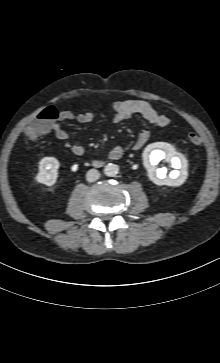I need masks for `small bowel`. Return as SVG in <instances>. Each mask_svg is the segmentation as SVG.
I'll return each mask as SVG.
<instances>
[{"label":"small bowel","instance_id":"c3829d8e","mask_svg":"<svg viewBox=\"0 0 220 363\" xmlns=\"http://www.w3.org/2000/svg\"><path fill=\"white\" fill-rule=\"evenodd\" d=\"M113 121L119 123L123 120L130 118L131 116L138 115L142 117L146 122L158 127L165 128L169 125L170 120L167 116L158 113L151 105L140 100H120L113 104ZM94 115L91 111H84L80 113H74L71 111H61L58 121L52 125V130L55 136L59 140H67L68 134L62 129L60 121H76L79 123H89L93 120ZM150 132L143 130L139 133L135 140L132 149H141L149 140ZM72 152L75 155L81 156L84 153V147L81 144H74L72 146ZM123 153V149L120 146L113 147L109 156L112 159H118Z\"/></svg>","mask_w":220,"mask_h":363}]
</instances>
